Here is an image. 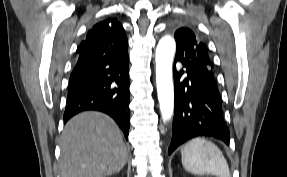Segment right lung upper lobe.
<instances>
[{
	"mask_svg": "<svg viewBox=\"0 0 287 177\" xmlns=\"http://www.w3.org/2000/svg\"><path fill=\"white\" fill-rule=\"evenodd\" d=\"M125 32L121 23L117 19L108 18L100 23H97L93 28L88 32V34H97V35H112L117 33ZM85 50V44L82 41L79 48L77 49L78 56L83 53Z\"/></svg>",
	"mask_w": 287,
	"mask_h": 177,
	"instance_id": "cb5924a9",
	"label": "right lung upper lobe"
}]
</instances>
